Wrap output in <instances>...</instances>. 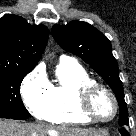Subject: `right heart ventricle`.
<instances>
[{
	"label": "right heart ventricle",
	"mask_w": 136,
	"mask_h": 136,
	"mask_svg": "<svg viewBox=\"0 0 136 136\" xmlns=\"http://www.w3.org/2000/svg\"><path fill=\"white\" fill-rule=\"evenodd\" d=\"M92 78L75 61H60L56 82L51 84V105L42 119L56 124H87L78 104L79 89Z\"/></svg>",
	"instance_id": "right-heart-ventricle-1"
}]
</instances>
